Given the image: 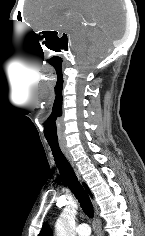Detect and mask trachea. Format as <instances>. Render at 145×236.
Segmentation results:
<instances>
[{
  "label": "trachea",
  "mask_w": 145,
  "mask_h": 236,
  "mask_svg": "<svg viewBox=\"0 0 145 236\" xmlns=\"http://www.w3.org/2000/svg\"><path fill=\"white\" fill-rule=\"evenodd\" d=\"M52 154L54 156L55 163L57 167L60 170V173L65 181V183L68 185L72 193L75 195V197L78 199L80 206L83 210V212L90 218H93L94 210L92 203L89 199V196L81 186L80 182L77 179V176L75 172L73 171V168L69 164L68 160L64 156L63 152L60 149L58 142H48Z\"/></svg>",
  "instance_id": "1"
}]
</instances>
